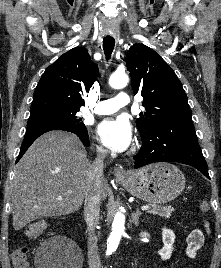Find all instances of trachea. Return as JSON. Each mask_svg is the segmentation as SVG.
<instances>
[{
  "label": "trachea",
  "mask_w": 221,
  "mask_h": 268,
  "mask_svg": "<svg viewBox=\"0 0 221 268\" xmlns=\"http://www.w3.org/2000/svg\"><path fill=\"white\" fill-rule=\"evenodd\" d=\"M115 46V40L112 37H105L103 39V50L106 59L109 60Z\"/></svg>",
  "instance_id": "3493384b"
}]
</instances>
